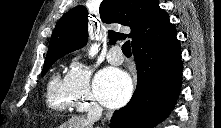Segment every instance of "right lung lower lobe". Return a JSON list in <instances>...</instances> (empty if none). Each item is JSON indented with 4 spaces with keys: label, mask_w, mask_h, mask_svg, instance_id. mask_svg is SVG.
<instances>
[{
    "label": "right lung lower lobe",
    "mask_w": 221,
    "mask_h": 128,
    "mask_svg": "<svg viewBox=\"0 0 221 128\" xmlns=\"http://www.w3.org/2000/svg\"><path fill=\"white\" fill-rule=\"evenodd\" d=\"M138 82L123 108L116 110L111 128H152L170 113L180 94L181 47L176 35L161 47H135Z\"/></svg>",
    "instance_id": "1"
}]
</instances>
